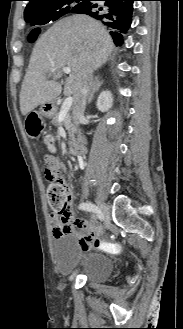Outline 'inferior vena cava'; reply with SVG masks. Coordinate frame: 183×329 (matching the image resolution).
I'll list each match as a JSON object with an SVG mask.
<instances>
[{
  "label": "inferior vena cava",
  "instance_id": "602c4592",
  "mask_svg": "<svg viewBox=\"0 0 183 329\" xmlns=\"http://www.w3.org/2000/svg\"><path fill=\"white\" fill-rule=\"evenodd\" d=\"M93 85V69L89 64H87L83 69L79 87L74 94L73 120L76 124V127L79 126L80 122L84 118L86 102L93 88Z\"/></svg>",
  "mask_w": 183,
  "mask_h": 329
}]
</instances>
